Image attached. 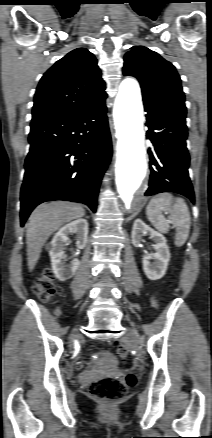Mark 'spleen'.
I'll list each match as a JSON object with an SVG mask.
<instances>
[{"instance_id":"obj_1","label":"spleen","mask_w":212,"mask_h":438,"mask_svg":"<svg viewBox=\"0 0 212 438\" xmlns=\"http://www.w3.org/2000/svg\"><path fill=\"white\" fill-rule=\"evenodd\" d=\"M163 213L169 214L176 227L175 245L185 244L190 231L191 218L187 204L182 198H175L170 193H161L154 196L146 207V215L152 225L161 233L169 231V223Z\"/></svg>"}]
</instances>
